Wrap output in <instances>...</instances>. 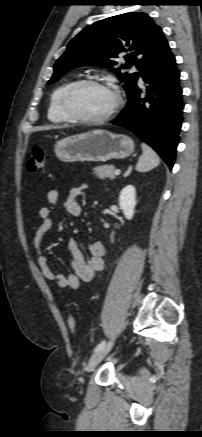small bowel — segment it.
<instances>
[{
    "label": "small bowel",
    "instance_id": "c3829d8e",
    "mask_svg": "<svg viewBox=\"0 0 202 437\" xmlns=\"http://www.w3.org/2000/svg\"><path fill=\"white\" fill-rule=\"evenodd\" d=\"M87 190L88 184L86 183H81L69 190L67 198L63 203V208L69 215L79 216L81 214L82 207L78 199ZM47 200L51 205H56L59 201V192L56 189L49 190ZM39 217L41 221L35 229L33 245L37 252L38 264L44 278L51 283H56L61 289L69 290L77 289L81 282H91L96 273L102 270L104 266V244L97 240L90 242L88 245L89 256L85 257L77 241L72 237L68 244L71 254L72 272L68 275L55 272L52 269L50 259L42 250L43 237L54 223L52 209L47 206L41 207L39 209Z\"/></svg>",
    "mask_w": 202,
    "mask_h": 437
}]
</instances>
